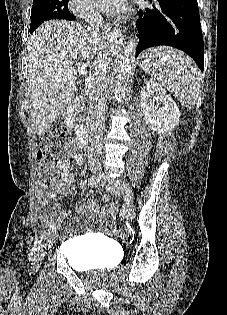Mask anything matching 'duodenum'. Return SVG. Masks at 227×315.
I'll return each instance as SVG.
<instances>
[{"instance_id": "duodenum-1", "label": "duodenum", "mask_w": 227, "mask_h": 315, "mask_svg": "<svg viewBox=\"0 0 227 315\" xmlns=\"http://www.w3.org/2000/svg\"><path fill=\"white\" fill-rule=\"evenodd\" d=\"M65 122L69 127L75 129L79 142L84 146H88L89 145V133L86 129H84L78 123L77 104L72 106L69 113L65 117Z\"/></svg>"}]
</instances>
